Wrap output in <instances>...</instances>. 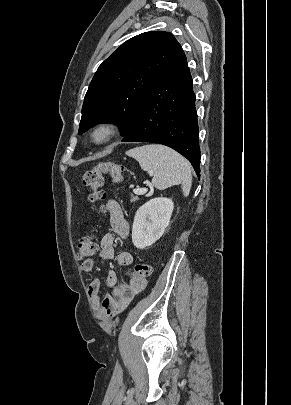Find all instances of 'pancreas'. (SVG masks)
Returning <instances> with one entry per match:
<instances>
[{
    "label": "pancreas",
    "mask_w": 291,
    "mask_h": 405,
    "mask_svg": "<svg viewBox=\"0 0 291 405\" xmlns=\"http://www.w3.org/2000/svg\"><path fill=\"white\" fill-rule=\"evenodd\" d=\"M137 200H138V197H137V196L131 195V198H130V201H131V202H135V201H137Z\"/></svg>",
    "instance_id": "1"
}]
</instances>
